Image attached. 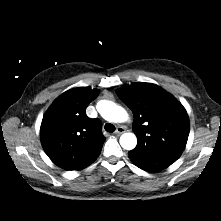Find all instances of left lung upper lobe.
Returning a JSON list of instances; mask_svg holds the SVG:
<instances>
[{"label": "left lung upper lobe", "mask_w": 221, "mask_h": 221, "mask_svg": "<svg viewBox=\"0 0 221 221\" xmlns=\"http://www.w3.org/2000/svg\"><path fill=\"white\" fill-rule=\"evenodd\" d=\"M134 115V151L179 157L189 135L185 108L171 94L152 83H133L116 91Z\"/></svg>", "instance_id": "left-lung-upper-lobe-1"}]
</instances>
